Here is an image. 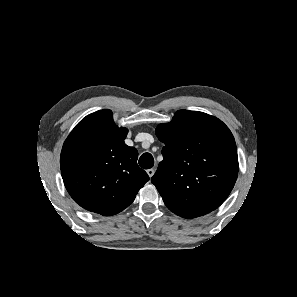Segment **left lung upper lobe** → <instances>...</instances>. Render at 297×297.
Listing matches in <instances>:
<instances>
[{
    "label": "left lung upper lobe",
    "mask_w": 297,
    "mask_h": 297,
    "mask_svg": "<svg viewBox=\"0 0 297 297\" xmlns=\"http://www.w3.org/2000/svg\"><path fill=\"white\" fill-rule=\"evenodd\" d=\"M156 134L165 146L151 182L165 205L188 219L218 208L233 189L239 168L229 128L206 113L179 110Z\"/></svg>",
    "instance_id": "left-lung-upper-lobe-1"
}]
</instances>
